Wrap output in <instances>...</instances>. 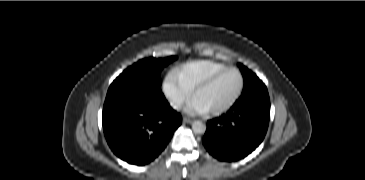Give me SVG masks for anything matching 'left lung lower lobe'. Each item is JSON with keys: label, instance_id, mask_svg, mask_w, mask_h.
Listing matches in <instances>:
<instances>
[{"label": "left lung lower lobe", "instance_id": "obj_1", "mask_svg": "<svg viewBox=\"0 0 365 180\" xmlns=\"http://www.w3.org/2000/svg\"><path fill=\"white\" fill-rule=\"evenodd\" d=\"M269 118L267 88L253 89L243 93L226 114L207 122L203 144L219 160H239L263 141Z\"/></svg>", "mask_w": 365, "mask_h": 180}]
</instances>
